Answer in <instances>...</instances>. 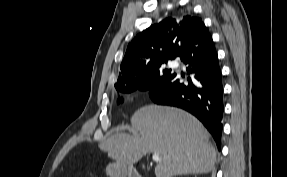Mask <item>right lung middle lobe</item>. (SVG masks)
Here are the masks:
<instances>
[{
    "label": "right lung middle lobe",
    "mask_w": 287,
    "mask_h": 177,
    "mask_svg": "<svg viewBox=\"0 0 287 177\" xmlns=\"http://www.w3.org/2000/svg\"><path fill=\"white\" fill-rule=\"evenodd\" d=\"M167 62L156 65L150 70L139 82L129 85H123L116 87V90L122 93H131L136 90L149 91L154 85L163 82L171 74V70L162 69V65ZM122 102V99L118 98L117 103Z\"/></svg>",
    "instance_id": "dd1d6c3e"
}]
</instances>
